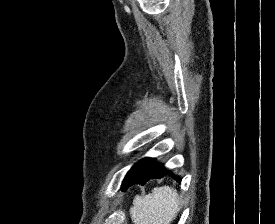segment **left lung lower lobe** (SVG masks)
<instances>
[{
  "instance_id": "1",
  "label": "left lung lower lobe",
  "mask_w": 275,
  "mask_h": 224,
  "mask_svg": "<svg viewBox=\"0 0 275 224\" xmlns=\"http://www.w3.org/2000/svg\"><path fill=\"white\" fill-rule=\"evenodd\" d=\"M165 174H170L178 182H181L179 177H176L171 171L166 170L163 165L155 163L154 159L143 158L129 170L123 181L122 189L126 190L131 185L137 183L144 185L149 179L161 178Z\"/></svg>"
}]
</instances>
